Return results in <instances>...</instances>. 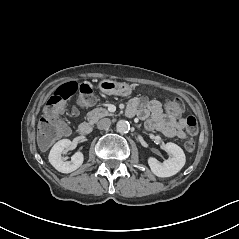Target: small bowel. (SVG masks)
<instances>
[{
    "label": "small bowel",
    "mask_w": 239,
    "mask_h": 239,
    "mask_svg": "<svg viewBox=\"0 0 239 239\" xmlns=\"http://www.w3.org/2000/svg\"><path fill=\"white\" fill-rule=\"evenodd\" d=\"M127 112L145 120L148 130H156L166 137L183 139L187 135L186 119L165 114L157 100L135 97L129 102Z\"/></svg>",
    "instance_id": "small-bowel-1"
}]
</instances>
